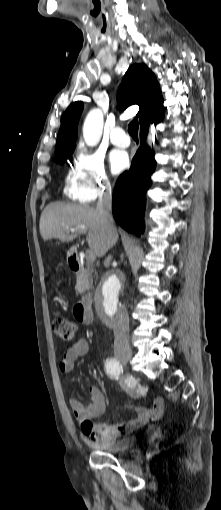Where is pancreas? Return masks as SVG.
Instances as JSON below:
<instances>
[{"label": "pancreas", "mask_w": 221, "mask_h": 510, "mask_svg": "<svg viewBox=\"0 0 221 510\" xmlns=\"http://www.w3.org/2000/svg\"><path fill=\"white\" fill-rule=\"evenodd\" d=\"M90 285V280L87 274H80L77 276L76 291L83 293Z\"/></svg>", "instance_id": "cf45deb5"}]
</instances>
